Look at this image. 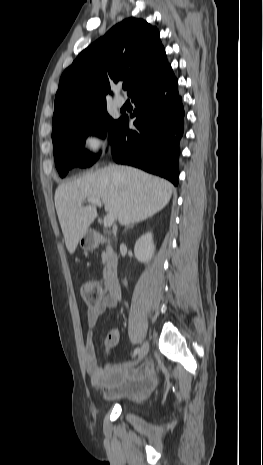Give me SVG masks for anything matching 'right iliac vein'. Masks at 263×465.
Instances as JSON below:
<instances>
[{
  "label": "right iliac vein",
  "instance_id": "right-iliac-vein-1",
  "mask_svg": "<svg viewBox=\"0 0 263 465\" xmlns=\"http://www.w3.org/2000/svg\"><path fill=\"white\" fill-rule=\"evenodd\" d=\"M148 350H149V343L148 341H145L139 351L138 361H141L146 356V354L148 353Z\"/></svg>",
  "mask_w": 263,
  "mask_h": 465
}]
</instances>
